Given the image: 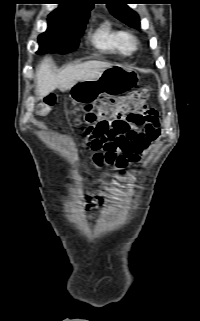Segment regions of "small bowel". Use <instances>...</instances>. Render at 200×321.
<instances>
[{"label": "small bowel", "instance_id": "1", "mask_svg": "<svg viewBox=\"0 0 200 321\" xmlns=\"http://www.w3.org/2000/svg\"><path fill=\"white\" fill-rule=\"evenodd\" d=\"M160 136L157 112L133 114L115 123H98L87 130L86 145L97 155L103 152L108 161L119 165L137 162L141 154Z\"/></svg>", "mask_w": 200, "mask_h": 321}]
</instances>
